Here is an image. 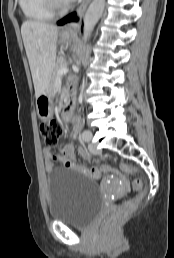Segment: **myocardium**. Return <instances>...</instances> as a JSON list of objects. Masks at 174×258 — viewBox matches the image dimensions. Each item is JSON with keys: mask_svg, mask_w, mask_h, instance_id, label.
I'll use <instances>...</instances> for the list:
<instances>
[{"mask_svg": "<svg viewBox=\"0 0 174 258\" xmlns=\"http://www.w3.org/2000/svg\"><path fill=\"white\" fill-rule=\"evenodd\" d=\"M49 9L54 13H63L65 12L70 4L66 0H45Z\"/></svg>", "mask_w": 174, "mask_h": 258, "instance_id": "obj_1", "label": "myocardium"}]
</instances>
